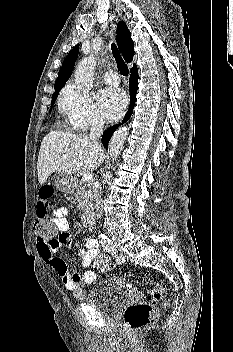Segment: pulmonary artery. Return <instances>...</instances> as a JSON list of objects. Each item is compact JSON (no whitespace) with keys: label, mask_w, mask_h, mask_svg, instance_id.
<instances>
[{"label":"pulmonary artery","mask_w":233,"mask_h":352,"mask_svg":"<svg viewBox=\"0 0 233 352\" xmlns=\"http://www.w3.org/2000/svg\"><path fill=\"white\" fill-rule=\"evenodd\" d=\"M104 78V81L108 84V85H111V86H116L119 84L120 82V79L117 75L116 72L114 71H108L104 74L103 76Z\"/></svg>","instance_id":"e3ab8cb5"}]
</instances>
